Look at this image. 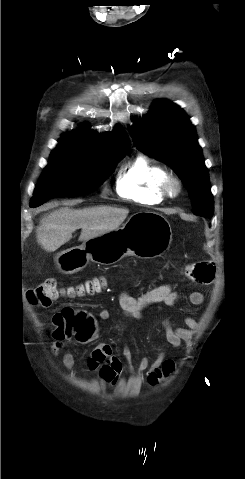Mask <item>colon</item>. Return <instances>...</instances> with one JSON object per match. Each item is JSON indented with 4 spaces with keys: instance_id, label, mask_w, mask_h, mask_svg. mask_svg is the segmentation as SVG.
I'll list each match as a JSON object with an SVG mask.
<instances>
[{
    "instance_id": "1",
    "label": "colon",
    "mask_w": 245,
    "mask_h": 479,
    "mask_svg": "<svg viewBox=\"0 0 245 479\" xmlns=\"http://www.w3.org/2000/svg\"><path fill=\"white\" fill-rule=\"evenodd\" d=\"M185 274L193 281L200 284H210L215 275V265L210 261H199L188 265L185 269ZM101 288V281L93 279L76 289L68 291L69 295H83L85 293L91 294L99 291ZM65 295L59 287L58 280L50 278L40 283L39 285L30 288L26 293L27 301L33 306H48L53 301ZM89 316L83 310L66 308L56 313L52 322L55 326L53 337L56 339L66 340L73 336L82 334L83 329L89 321ZM175 369V362L173 360H166L161 370L152 373L148 377V382L151 385L158 384L161 380L167 378L173 373Z\"/></svg>"
}]
</instances>
